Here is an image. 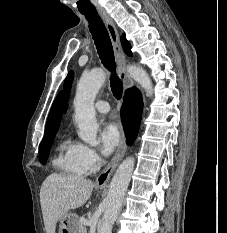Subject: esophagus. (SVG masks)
Here are the masks:
<instances>
[{"instance_id":"esophagus-1","label":"esophagus","mask_w":227,"mask_h":233,"mask_svg":"<svg viewBox=\"0 0 227 233\" xmlns=\"http://www.w3.org/2000/svg\"><path fill=\"white\" fill-rule=\"evenodd\" d=\"M98 13L101 19L103 20L107 28V31L109 33L112 46H113V50H114V54H115V58L117 61L118 69H119L120 79L122 80L123 85L126 89L130 88L134 85V83L132 79L130 78V76L128 75L126 68H125L126 58H125L124 52L120 44V38H119L117 28L112 18L108 15V13L104 9H99ZM126 151H127V144L125 141V136L124 134H122L121 141L117 147L115 155L113 156L109 164L106 166V168L98 175L96 179L97 186L103 187L107 185L115 169L117 168V166L123 159Z\"/></svg>"}]
</instances>
